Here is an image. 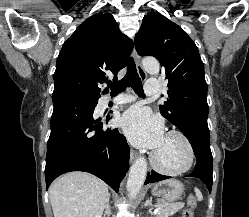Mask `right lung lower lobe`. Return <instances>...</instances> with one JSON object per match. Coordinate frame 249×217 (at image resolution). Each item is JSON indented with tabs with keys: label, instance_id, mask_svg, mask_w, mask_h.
<instances>
[{
	"label": "right lung lower lobe",
	"instance_id": "obj_1",
	"mask_svg": "<svg viewBox=\"0 0 249 217\" xmlns=\"http://www.w3.org/2000/svg\"><path fill=\"white\" fill-rule=\"evenodd\" d=\"M99 97L90 100L70 92L52 95L54 109L45 167L47 189L63 173L84 171L118 192L129 167L130 149L117 128L103 131V122L93 118ZM110 119L108 115L106 122Z\"/></svg>",
	"mask_w": 249,
	"mask_h": 217
}]
</instances>
